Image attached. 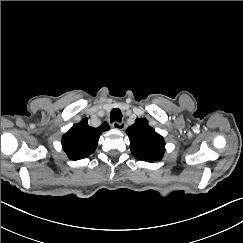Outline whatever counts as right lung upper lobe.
<instances>
[{
	"mask_svg": "<svg viewBox=\"0 0 243 243\" xmlns=\"http://www.w3.org/2000/svg\"><path fill=\"white\" fill-rule=\"evenodd\" d=\"M109 128L106 122L98 128L90 127L84 118L62 137L63 150L71 160L87 158L95 151L100 135Z\"/></svg>",
	"mask_w": 243,
	"mask_h": 243,
	"instance_id": "obj_1",
	"label": "right lung upper lobe"
}]
</instances>
